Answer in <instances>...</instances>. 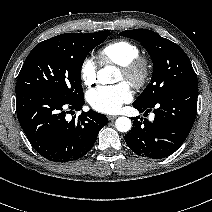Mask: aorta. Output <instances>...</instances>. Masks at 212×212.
Wrapping results in <instances>:
<instances>
[{
  "label": "aorta",
  "mask_w": 212,
  "mask_h": 212,
  "mask_svg": "<svg viewBox=\"0 0 212 212\" xmlns=\"http://www.w3.org/2000/svg\"><path fill=\"white\" fill-rule=\"evenodd\" d=\"M111 67H106L98 72V80L101 83L110 82ZM116 129L120 132H128L132 127L131 120L127 117H118L115 121Z\"/></svg>",
  "instance_id": "1"
}]
</instances>
